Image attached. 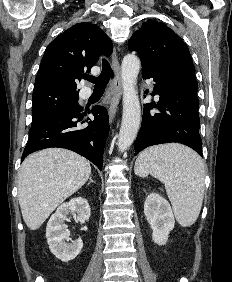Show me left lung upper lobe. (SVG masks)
<instances>
[{"instance_id":"left-lung-upper-lobe-1","label":"left lung upper lobe","mask_w":232,"mask_h":282,"mask_svg":"<svg viewBox=\"0 0 232 282\" xmlns=\"http://www.w3.org/2000/svg\"><path fill=\"white\" fill-rule=\"evenodd\" d=\"M128 49L138 53L142 72L195 78V67L189 49L164 23L156 20L143 23L129 40Z\"/></svg>"}]
</instances>
